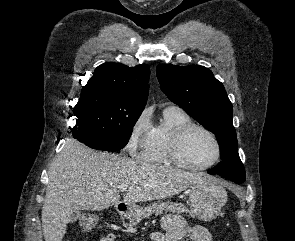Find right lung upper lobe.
I'll use <instances>...</instances> for the list:
<instances>
[{"label": "right lung upper lobe", "instance_id": "cb5924a9", "mask_svg": "<svg viewBox=\"0 0 295 241\" xmlns=\"http://www.w3.org/2000/svg\"><path fill=\"white\" fill-rule=\"evenodd\" d=\"M149 76L150 69L147 64L128 67L120 63L107 62L95 69L93 76L83 87L81 97L89 92L100 91L145 107Z\"/></svg>", "mask_w": 295, "mask_h": 241}]
</instances>
